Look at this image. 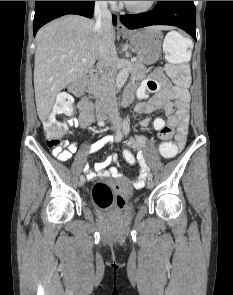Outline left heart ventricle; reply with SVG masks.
I'll return each mask as SVG.
<instances>
[{"instance_id":"1","label":"left heart ventricle","mask_w":233,"mask_h":295,"mask_svg":"<svg viewBox=\"0 0 233 295\" xmlns=\"http://www.w3.org/2000/svg\"><path fill=\"white\" fill-rule=\"evenodd\" d=\"M149 1H126L127 4L133 7L145 6Z\"/></svg>"}]
</instances>
